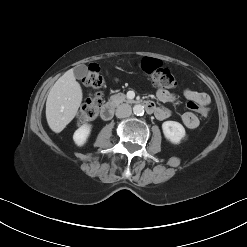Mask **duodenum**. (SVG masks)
Wrapping results in <instances>:
<instances>
[{"label": "duodenum", "mask_w": 247, "mask_h": 247, "mask_svg": "<svg viewBox=\"0 0 247 247\" xmlns=\"http://www.w3.org/2000/svg\"><path fill=\"white\" fill-rule=\"evenodd\" d=\"M144 106H145L147 111L152 112V113L156 112V110H157L155 104L153 102H150V101L145 102ZM114 110H115V107H114L113 103H111V102L106 103L101 110L102 119L103 120L111 119L113 114H114Z\"/></svg>", "instance_id": "obj_1"}]
</instances>
